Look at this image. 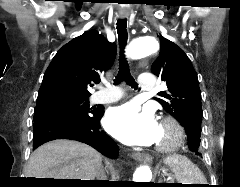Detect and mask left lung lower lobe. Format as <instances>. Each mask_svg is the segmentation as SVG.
<instances>
[{
  "label": "left lung lower lobe",
  "instance_id": "0a47b994",
  "mask_svg": "<svg viewBox=\"0 0 240 187\" xmlns=\"http://www.w3.org/2000/svg\"><path fill=\"white\" fill-rule=\"evenodd\" d=\"M187 135H188V145H189V148L191 149V146L195 144L196 135L193 133H189ZM195 152L198 153V151H195Z\"/></svg>",
  "mask_w": 240,
  "mask_h": 187
}]
</instances>
